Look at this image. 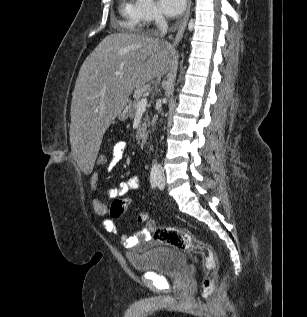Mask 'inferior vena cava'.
Segmentation results:
<instances>
[{
	"label": "inferior vena cava",
	"instance_id": "602c4592",
	"mask_svg": "<svg viewBox=\"0 0 307 317\" xmlns=\"http://www.w3.org/2000/svg\"><path fill=\"white\" fill-rule=\"evenodd\" d=\"M156 24L159 27V29L161 30V34L164 35L167 32L168 24H167L166 20L163 18V16H159L156 19ZM157 170H158V173L163 172L162 167L160 165L157 166Z\"/></svg>",
	"mask_w": 307,
	"mask_h": 317
}]
</instances>
